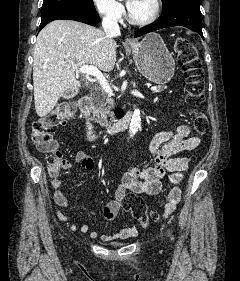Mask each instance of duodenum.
Instances as JSON below:
<instances>
[{
  "mask_svg": "<svg viewBox=\"0 0 240 281\" xmlns=\"http://www.w3.org/2000/svg\"><path fill=\"white\" fill-rule=\"evenodd\" d=\"M91 106L92 102L88 96H84L79 100V109L85 119V135L90 141L97 138V134L89 119ZM132 117L133 113L131 111L124 112L122 109L117 110L113 121L105 127L103 134L115 135L125 130L129 126Z\"/></svg>",
  "mask_w": 240,
  "mask_h": 281,
  "instance_id": "410a0bca",
  "label": "duodenum"
}]
</instances>
